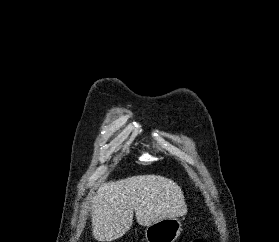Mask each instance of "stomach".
<instances>
[{"mask_svg":"<svg viewBox=\"0 0 279 242\" xmlns=\"http://www.w3.org/2000/svg\"><path fill=\"white\" fill-rule=\"evenodd\" d=\"M182 232V223L177 217L162 219L147 226V242H175Z\"/></svg>","mask_w":279,"mask_h":242,"instance_id":"obj_1","label":"stomach"}]
</instances>
